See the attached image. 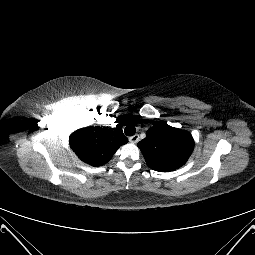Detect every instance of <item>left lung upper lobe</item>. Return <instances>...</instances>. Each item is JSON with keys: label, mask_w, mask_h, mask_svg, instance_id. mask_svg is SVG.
I'll return each instance as SVG.
<instances>
[{"label": "left lung upper lobe", "mask_w": 255, "mask_h": 255, "mask_svg": "<svg viewBox=\"0 0 255 255\" xmlns=\"http://www.w3.org/2000/svg\"><path fill=\"white\" fill-rule=\"evenodd\" d=\"M147 165L160 172L183 166L194 149L192 135L164 122H157L138 143Z\"/></svg>", "instance_id": "5c2ea615"}]
</instances>
